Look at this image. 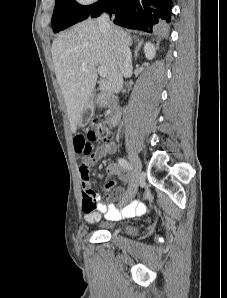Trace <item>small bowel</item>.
<instances>
[{
	"label": "small bowel",
	"mask_w": 227,
	"mask_h": 298,
	"mask_svg": "<svg viewBox=\"0 0 227 298\" xmlns=\"http://www.w3.org/2000/svg\"><path fill=\"white\" fill-rule=\"evenodd\" d=\"M85 139H87V134H75V139L72 140L76 158H83L79 171L82 188V209L85 221L89 223L94 222L100 218L101 214H104L111 220L141 215L145 211V205L130 198L132 180L119 165L114 163L109 164L106 168V173L116 175L128 184L126 191L123 188H117L108 195V198L114 200L123 198L129 200L121 210H117L113 204L103 201L93 190L88 177L89 167L96 164L107 154L114 153L116 151V144L113 141L104 142L92 150L93 142H85Z\"/></svg>",
	"instance_id": "obj_1"
}]
</instances>
